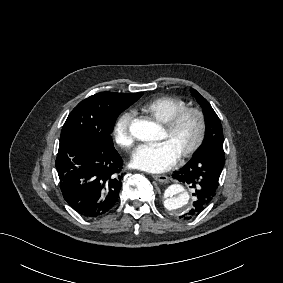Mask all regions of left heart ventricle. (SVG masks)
<instances>
[{"instance_id": "obj_1", "label": "left heart ventricle", "mask_w": 283, "mask_h": 283, "mask_svg": "<svg viewBox=\"0 0 283 283\" xmlns=\"http://www.w3.org/2000/svg\"><path fill=\"white\" fill-rule=\"evenodd\" d=\"M199 129V123L194 115L186 116L172 133L164 129L159 141H168L171 146L181 154L195 141Z\"/></svg>"}]
</instances>
